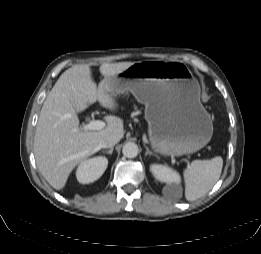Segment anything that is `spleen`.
Masks as SVG:
<instances>
[{
  "instance_id": "spleen-1",
  "label": "spleen",
  "mask_w": 261,
  "mask_h": 254,
  "mask_svg": "<svg viewBox=\"0 0 261 254\" xmlns=\"http://www.w3.org/2000/svg\"><path fill=\"white\" fill-rule=\"evenodd\" d=\"M223 159L216 156L210 160H194L184 170L185 198L195 201L208 193L219 180Z\"/></svg>"
}]
</instances>
